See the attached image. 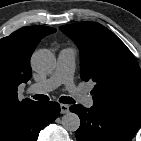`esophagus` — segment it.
I'll list each match as a JSON object with an SVG mask.
<instances>
[{"mask_svg":"<svg viewBox=\"0 0 141 141\" xmlns=\"http://www.w3.org/2000/svg\"><path fill=\"white\" fill-rule=\"evenodd\" d=\"M60 111L62 114L68 113L69 112V106L66 104H61L60 105Z\"/></svg>","mask_w":141,"mask_h":141,"instance_id":"1","label":"esophagus"}]
</instances>
